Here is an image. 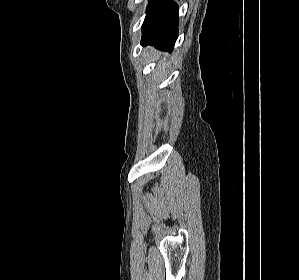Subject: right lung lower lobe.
<instances>
[{
  "instance_id": "98d812e1",
  "label": "right lung lower lobe",
  "mask_w": 299,
  "mask_h": 280,
  "mask_svg": "<svg viewBox=\"0 0 299 280\" xmlns=\"http://www.w3.org/2000/svg\"><path fill=\"white\" fill-rule=\"evenodd\" d=\"M178 20V6L172 0H150L141 44L171 52L178 36Z\"/></svg>"
}]
</instances>
